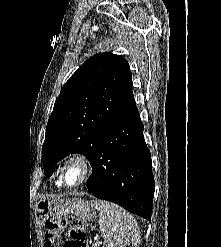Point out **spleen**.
<instances>
[{
    "mask_svg": "<svg viewBox=\"0 0 221 247\" xmlns=\"http://www.w3.org/2000/svg\"><path fill=\"white\" fill-rule=\"evenodd\" d=\"M100 231L104 238L103 247H138L140 235L137 222L126 210L104 201H97Z\"/></svg>",
    "mask_w": 221,
    "mask_h": 247,
    "instance_id": "1",
    "label": "spleen"
}]
</instances>
